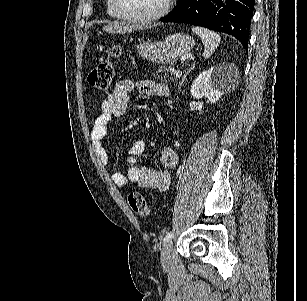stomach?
Returning <instances> with one entry per match:
<instances>
[{"mask_svg":"<svg viewBox=\"0 0 307 301\" xmlns=\"http://www.w3.org/2000/svg\"><path fill=\"white\" fill-rule=\"evenodd\" d=\"M195 44L194 38L184 32L167 34L165 40H140L135 44L137 52L142 58L160 64H174L180 56L190 52Z\"/></svg>","mask_w":307,"mask_h":301,"instance_id":"stomach-1","label":"stomach"}]
</instances>
